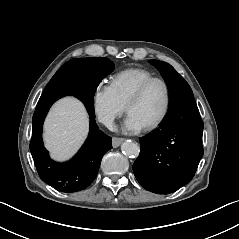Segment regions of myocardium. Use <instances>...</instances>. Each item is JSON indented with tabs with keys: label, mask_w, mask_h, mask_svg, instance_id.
Returning a JSON list of instances; mask_svg holds the SVG:
<instances>
[{
	"label": "myocardium",
	"mask_w": 239,
	"mask_h": 239,
	"mask_svg": "<svg viewBox=\"0 0 239 239\" xmlns=\"http://www.w3.org/2000/svg\"><path fill=\"white\" fill-rule=\"evenodd\" d=\"M156 82L161 83L165 88V92H166L165 107H164V110L161 113V115L153 123L144 127V129L146 131H152V130H155L158 127H160L164 123V121L167 119V117L170 113L171 106H172V91H171V87H170L169 83L161 77H152V78L146 80L134 91V93L131 95V97H130L129 101L127 102V105H126V110L129 113L130 108L135 103H137L143 97L146 90L153 83H156Z\"/></svg>",
	"instance_id": "f54148a6"
}]
</instances>
